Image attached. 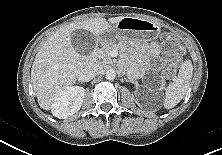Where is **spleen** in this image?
I'll return each mask as SVG.
<instances>
[{
  "label": "spleen",
  "mask_w": 222,
  "mask_h": 155,
  "mask_svg": "<svg viewBox=\"0 0 222 155\" xmlns=\"http://www.w3.org/2000/svg\"><path fill=\"white\" fill-rule=\"evenodd\" d=\"M193 67L190 60L185 61L173 82L167 87L164 99V108L171 109L185 96L192 78Z\"/></svg>",
  "instance_id": "spleen-1"
}]
</instances>
